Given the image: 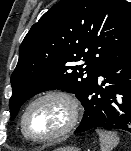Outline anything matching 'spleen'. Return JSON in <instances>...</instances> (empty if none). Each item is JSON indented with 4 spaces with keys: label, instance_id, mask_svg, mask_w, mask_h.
Returning <instances> with one entry per match:
<instances>
[{
    "label": "spleen",
    "instance_id": "spleen-1",
    "mask_svg": "<svg viewBox=\"0 0 131 151\" xmlns=\"http://www.w3.org/2000/svg\"><path fill=\"white\" fill-rule=\"evenodd\" d=\"M99 135L101 151H112L119 143V137L116 133L103 129H96Z\"/></svg>",
    "mask_w": 131,
    "mask_h": 151
}]
</instances>
